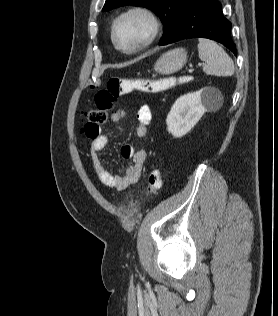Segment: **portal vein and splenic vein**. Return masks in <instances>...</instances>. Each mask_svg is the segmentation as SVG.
<instances>
[{
	"mask_svg": "<svg viewBox=\"0 0 278 316\" xmlns=\"http://www.w3.org/2000/svg\"><path fill=\"white\" fill-rule=\"evenodd\" d=\"M203 65V63H198V66L200 67V66H202Z\"/></svg>",
	"mask_w": 278,
	"mask_h": 316,
	"instance_id": "portal-vein-and-splenic-vein-1",
	"label": "portal vein and splenic vein"
}]
</instances>
